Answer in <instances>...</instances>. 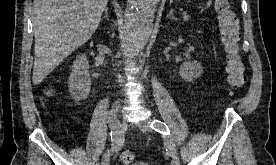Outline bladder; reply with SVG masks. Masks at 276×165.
<instances>
[{
	"label": "bladder",
	"mask_w": 276,
	"mask_h": 165,
	"mask_svg": "<svg viewBox=\"0 0 276 165\" xmlns=\"http://www.w3.org/2000/svg\"><path fill=\"white\" fill-rule=\"evenodd\" d=\"M132 165H149L145 162H136V163H133Z\"/></svg>",
	"instance_id": "obj_1"
}]
</instances>
